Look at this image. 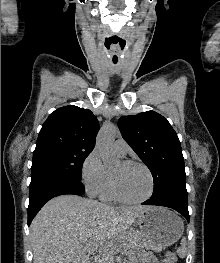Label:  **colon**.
I'll return each instance as SVG.
<instances>
[{
  "instance_id": "colon-1",
  "label": "colon",
  "mask_w": 220,
  "mask_h": 263,
  "mask_svg": "<svg viewBox=\"0 0 220 263\" xmlns=\"http://www.w3.org/2000/svg\"><path fill=\"white\" fill-rule=\"evenodd\" d=\"M166 260H167L168 263H176L177 262V257L175 255V253L167 252Z\"/></svg>"
}]
</instances>
